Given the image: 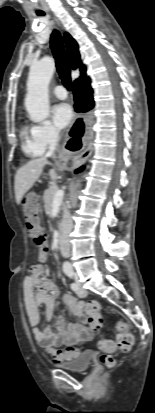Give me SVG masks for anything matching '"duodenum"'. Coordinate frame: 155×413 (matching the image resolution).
I'll list each match as a JSON object with an SVG mask.
<instances>
[{"label": "duodenum", "mask_w": 155, "mask_h": 413, "mask_svg": "<svg viewBox=\"0 0 155 413\" xmlns=\"http://www.w3.org/2000/svg\"><path fill=\"white\" fill-rule=\"evenodd\" d=\"M61 238H62V226L61 224H59L57 228L56 236H55L56 244L58 248H61Z\"/></svg>", "instance_id": "obj_1"}]
</instances>
